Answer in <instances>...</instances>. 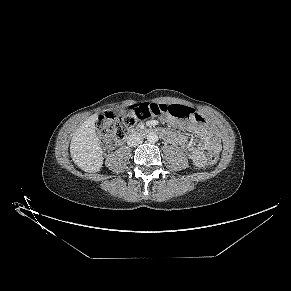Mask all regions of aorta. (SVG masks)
Returning <instances> with one entry per match:
<instances>
[{
    "label": "aorta",
    "mask_w": 291,
    "mask_h": 291,
    "mask_svg": "<svg viewBox=\"0 0 291 291\" xmlns=\"http://www.w3.org/2000/svg\"><path fill=\"white\" fill-rule=\"evenodd\" d=\"M157 139H158V137H157L156 134H150V135H149V138H148V140H149L150 142H156Z\"/></svg>",
    "instance_id": "aorta-1"
}]
</instances>
